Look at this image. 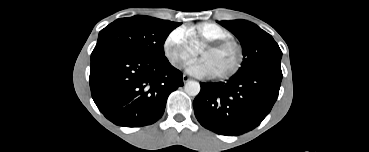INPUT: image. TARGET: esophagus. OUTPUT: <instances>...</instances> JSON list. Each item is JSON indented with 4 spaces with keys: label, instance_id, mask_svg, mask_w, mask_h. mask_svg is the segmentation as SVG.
Masks as SVG:
<instances>
[{
    "label": "esophagus",
    "instance_id": "obj_1",
    "mask_svg": "<svg viewBox=\"0 0 369 152\" xmlns=\"http://www.w3.org/2000/svg\"><path fill=\"white\" fill-rule=\"evenodd\" d=\"M182 79H183V82L186 83V82H188L190 80V77L188 75H185L184 74L183 77H182Z\"/></svg>",
    "mask_w": 369,
    "mask_h": 152
}]
</instances>
